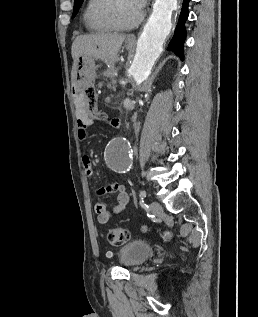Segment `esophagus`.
Masks as SVG:
<instances>
[{
	"label": "esophagus",
	"instance_id": "obj_1",
	"mask_svg": "<svg viewBox=\"0 0 258 317\" xmlns=\"http://www.w3.org/2000/svg\"><path fill=\"white\" fill-rule=\"evenodd\" d=\"M128 38L131 39V40H134V39H136V36L133 35V34H130V35H128Z\"/></svg>",
	"mask_w": 258,
	"mask_h": 317
}]
</instances>
